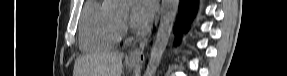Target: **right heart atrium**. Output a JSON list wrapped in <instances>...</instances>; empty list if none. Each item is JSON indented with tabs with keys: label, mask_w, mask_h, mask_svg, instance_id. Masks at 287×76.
Returning a JSON list of instances; mask_svg holds the SVG:
<instances>
[{
	"label": "right heart atrium",
	"mask_w": 287,
	"mask_h": 76,
	"mask_svg": "<svg viewBox=\"0 0 287 76\" xmlns=\"http://www.w3.org/2000/svg\"><path fill=\"white\" fill-rule=\"evenodd\" d=\"M121 31H125V26H121Z\"/></svg>",
	"instance_id": "1"
}]
</instances>
